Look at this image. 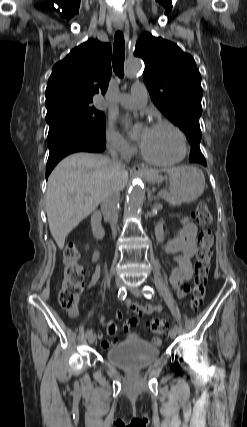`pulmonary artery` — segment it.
<instances>
[{"mask_svg":"<svg viewBox=\"0 0 247 427\" xmlns=\"http://www.w3.org/2000/svg\"><path fill=\"white\" fill-rule=\"evenodd\" d=\"M148 100L147 89L143 84H134L129 94H121L117 102L126 108H140Z\"/></svg>","mask_w":247,"mask_h":427,"instance_id":"e3ab8cb5","label":"pulmonary artery"}]
</instances>
